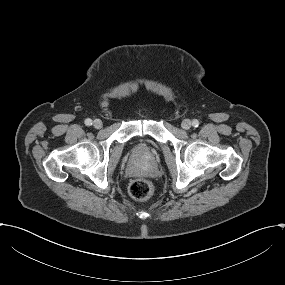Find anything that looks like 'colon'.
Here are the masks:
<instances>
[{"instance_id": "obj_1", "label": "colon", "mask_w": 285, "mask_h": 285, "mask_svg": "<svg viewBox=\"0 0 285 285\" xmlns=\"http://www.w3.org/2000/svg\"><path fill=\"white\" fill-rule=\"evenodd\" d=\"M153 185L146 179H135L129 183L128 193L136 201H146L153 194Z\"/></svg>"}]
</instances>
